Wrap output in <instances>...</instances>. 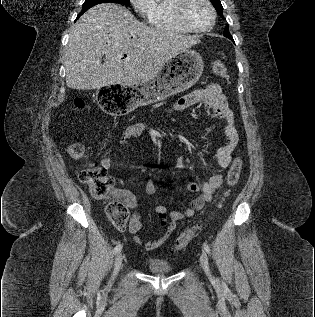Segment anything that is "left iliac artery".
<instances>
[{
  "instance_id": "1",
  "label": "left iliac artery",
  "mask_w": 315,
  "mask_h": 317,
  "mask_svg": "<svg viewBox=\"0 0 315 317\" xmlns=\"http://www.w3.org/2000/svg\"><path fill=\"white\" fill-rule=\"evenodd\" d=\"M203 248L208 254H210V247L207 244L204 243Z\"/></svg>"
}]
</instances>
